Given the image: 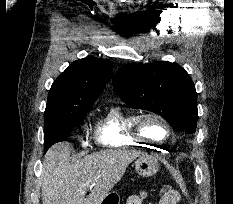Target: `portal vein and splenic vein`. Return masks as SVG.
Masks as SVG:
<instances>
[{
	"instance_id": "1",
	"label": "portal vein and splenic vein",
	"mask_w": 233,
	"mask_h": 204,
	"mask_svg": "<svg viewBox=\"0 0 233 204\" xmlns=\"http://www.w3.org/2000/svg\"><path fill=\"white\" fill-rule=\"evenodd\" d=\"M94 185H95V184H91V185H90V188H92Z\"/></svg>"
}]
</instances>
